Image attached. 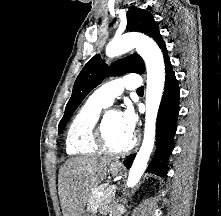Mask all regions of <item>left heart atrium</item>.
<instances>
[{"mask_svg":"<svg viewBox=\"0 0 221 216\" xmlns=\"http://www.w3.org/2000/svg\"><path fill=\"white\" fill-rule=\"evenodd\" d=\"M120 118L124 130L129 136H132L137 124V116L134 109L128 106L124 111L120 113Z\"/></svg>","mask_w":221,"mask_h":216,"instance_id":"left-heart-atrium-1","label":"left heart atrium"}]
</instances>
